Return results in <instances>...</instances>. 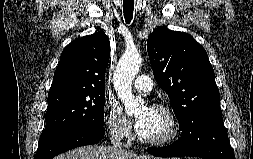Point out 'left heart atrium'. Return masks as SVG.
<instances>
[{
  "mask_svg": "<svg viewBox=\"0 0 253 159\" xmlns=\"http://www.w3.org/2000/svg\"><path fill=\"white\" fill-rule=\"evenodd\" d=\"M150 109L151 108H148V107L145 108L143 114L136 118L135 125H136L138 130L143 127V125H144V123H145V121H146V119L149 115Z\"/></svg>",
  "mask_w": 253,
  "mask_h": 159,
  "instance_id": "obj_1",
  "label": "left heart atrium"
}]
</instances>
